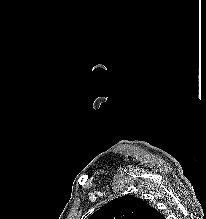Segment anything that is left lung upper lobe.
<instances>
[{
    "label": "left lung upper lobe",
    "instance_id": "1",
    "mask_svg": "<svg viewBox=\"0 0 206 219\" xmlns=\"http://www.w3.org/2000/svg\"><path fill=\"white\" fill-rule=\"evenodd\" d=\"M154 210L142 199L125 195L111 200L88 219H151Z\"/></svg>",
    "mask_w": 206,
    "mask_h": 219
}]
</instances>
